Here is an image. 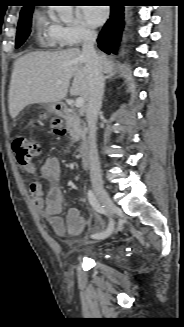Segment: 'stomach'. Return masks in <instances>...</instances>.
Listing matches in <instances>:
<instances>
[{
	"instance_id": "obj_1",
	"label": "stomach",
	"mask_w": 184,
	"mask_h": 327,
	"mask_svg": "<svg viewBox=\"0 0 184 327\" xmlns=\"http://www.w3.org/2000/svg\"><path fill=\"white\" fill-rule=\"evenodd\" d=\"M46 109L49 113L58 114L59 109L57 103H49L46 105Z\"/></svg>"
}]
</instances>
